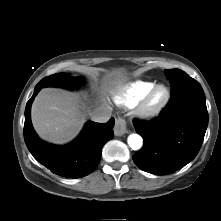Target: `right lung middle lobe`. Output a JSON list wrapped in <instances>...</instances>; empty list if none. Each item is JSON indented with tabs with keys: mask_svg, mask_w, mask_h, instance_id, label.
Instances as JSON below:
<instances>
[{
	"mask_svg": "<svg viewBox=\"0 0 221 221\" xmlns=\"http://www.w3.org/2000/svg\"><path fill=\"white\" fill-rule=\"evenodd\" d=\"M81 81L80 78L69 77L67 73H57L43 78L37 85L41 87L55 86L72 88L77 82Z\"/></svg>",
	"mask_w": 221,
	"mask_h": 221,
	"instance_id": "dd1d6c3e",
	"label": "right lung middle lobe"
}]
</instances>
